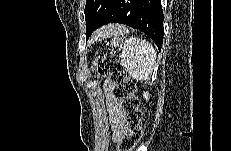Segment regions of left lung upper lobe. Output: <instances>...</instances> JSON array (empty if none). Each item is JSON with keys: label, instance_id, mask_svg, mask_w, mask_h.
Listing matches in <instances>:
<instances>
[{"label": "left lung upper lobe", "instance_id": "1", "mask_svg": "<svg viewBox=\"0 0 231 151\" xmlns=\"http://www.w3.org/2000/svg\"><path fill=\"white\" fill-rule=\"evenodd\" d=\"M112 0H86L85 20L86 34L93 31L105 15Z\"/></svg>", "mask_w": 231, "mask_h": 151}]
</instances>
